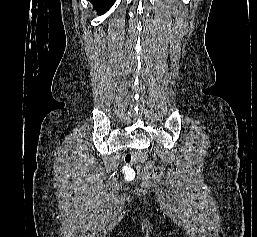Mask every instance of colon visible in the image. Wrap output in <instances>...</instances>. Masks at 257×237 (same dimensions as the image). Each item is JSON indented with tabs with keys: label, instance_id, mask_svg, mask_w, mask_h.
<instances>
[{
	"label": "colon",
	"instance_id": "1",
	"mask_svg": "<svg viewBox=\"0 0 257 237\" xmlns=\"http://www.w3.org/2000/svg\"><path fill=\"white\" fill-rule=\"evenodd\" d=\"M145 158V154L141 151H135L125 157L126 162H141ZM139 177L146 183L150 180L162 176L163 171L160 167L154 165H145L138 167Z\"/></svg>",
	"mask_w": 257,
	"mask_h": 237
}]
</instances>
